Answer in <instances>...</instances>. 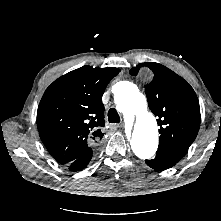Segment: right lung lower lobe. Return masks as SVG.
Segmentation results:
<instances>
[{
	"instance_id": "1",
	"label": "right lung lower lobe",
	"mask_w": 221,
	"mask_h": 221,
	"mask_svg": "<svg viewBox=\"0 0 221 221\" xmlns=\"http://www.w3.org/2000/svg\"><path fill=\"white\" fill-rule=\"evenodd\" d=\"M91 158H92V149L85 152L83 155H81L75 161L68 164L69 169L71 171H80L88 165Z\"/></svg>"
}]
</instances>
